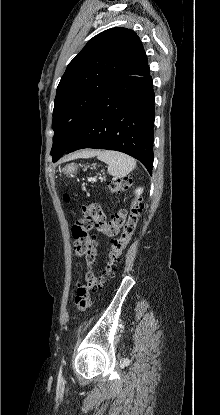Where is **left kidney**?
Here are the masks:
<instances>
[{
	"mask_svg": "<svg viewBox=\"0 0 220 415\" xmlns=\"http://www.w3.org/2000/svg\"><path fill=\"white\" fill-rule=\"evenodd\" d=\"M142 191H143V188H139V189L136 190V193H137V196L138 197L140 196V194L142 193Z\"/></svg>",
	"mask_w": 220,
	"mask_h": 415,
	"instance_id": "obj_1",
	"label": "left kidney"
}]
</instances>
